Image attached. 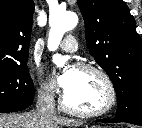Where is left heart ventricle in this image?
<instances>
[{
  "label": "left heart ventricle",
  "mask_w": 142,
  "mask_h": 128,
  "mask_svg": "<svg viewBox=\"0 0 142 128\" xmlns=\"http://www.w3.org/2000/svg\"><path fill=\"white\" fill-rule=\"evenodd\" d=\"M75 72L73 86L65 92L66 102L77 109L96 111L102 109L108 101V89L102 77L94 72Z\"/></svg>",
  "instance_id": "left-heart-ventricle-1"
}]
</instances>
